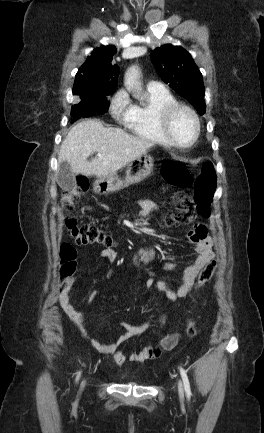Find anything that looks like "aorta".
Masks as SVG:
<instances>
[{
    "label": "aorta",
    "mask_w": 264,
    "mask_h": 433,
    "mask_svg": "<svg viewBox=\"0 0 264 433\" xmlns=\"http://www.w3.org/2000/svg\"><path fill=\"white\" fill-rule=\"evenodd\" d=\"M125 85L128 90H134L137 86V71L131 67L125 74Z\"/></svg>",
    "instance_id": "obj_1"
}]
</instances>
